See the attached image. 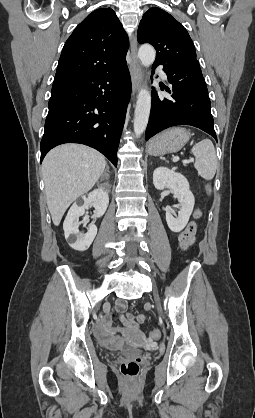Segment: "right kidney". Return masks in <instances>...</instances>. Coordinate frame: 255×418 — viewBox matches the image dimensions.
I'll list each match as a JSON object with an SVG mask.
<instances>
[{
    "label": "right kidney",
    "instance_id": "right-kidney-1",
    "mask_svg": "<svg viewBox=\"0 0 255 418\" xmlns=\"http://www.w3.org/2000/svg\"><path fill=\"white\" fill-rule=\"evenodd\" d=\"M108 204V193L103 188H98L74 202L63 223L65 238L70 247L78 251H85L90 247L97 234V227L93 222L89 225L86 234L80 233L79 217L84 215L89 206L93 205L95 217L99 218L106 212Z\"/></svg>",
    "mask_w": 255,
    "mask_h": 418
}]
</instances>
